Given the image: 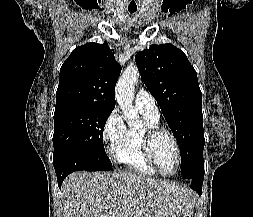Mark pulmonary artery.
Segmentation results:
<instances>
[{
	"instance_id": "obj_1",
	"label": "pulmonary artery",
	"mask_w": 253,
	"mask_h": 217,
	"mask_svg": "<svg viewBox=\"0 0 253 217\" xmlns=\"http://www.w3.org/2000/svg\"><path fill=\"white\" fill-rule=\"evenodd\" d=\"M135 104L138 109L144 110L154 117H159V109L153 96L141 88L135 96Z\"/></svg>"
}]
</instances>
